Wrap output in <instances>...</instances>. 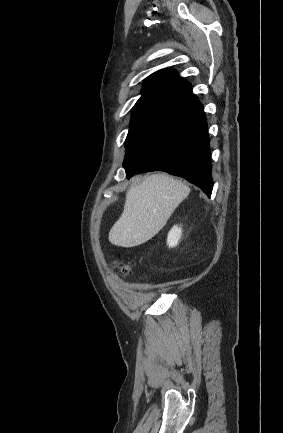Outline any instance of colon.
Instances as JSON below:
<instances>
[{"label": "colon", "mask_w": 283, "mask_h": 433, "mask_svg": "<svg viewBox=\"0 0 283 433\" xmlns=\"http://www.w3.org/2000/svg\"><path fill=\"white\" fill-rule=\"evenodd\" d=\"M119 268H120L121 272L124 274L129 272V266L128 265H122Z\"/></svg>", "instance_id": "colon-1"}]
</instances>
